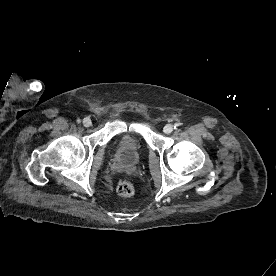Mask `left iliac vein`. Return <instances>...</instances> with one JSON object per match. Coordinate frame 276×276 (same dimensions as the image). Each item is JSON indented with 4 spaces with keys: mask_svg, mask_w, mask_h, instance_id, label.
Returning <instances> with one entry per match:
<instances>
[{
    "mask_svg": "<svg viewBox=\"0 0 276 276\" xmlns=\"http://www.w3.org/2000/svg\"><path fill=\"white\" fill-rule=\"evenodd\" d=\"M163 131L166 133V134H170L172 131H173V126L171 124H167L164 128H163Z\"/></svg>",
    "mask_w": 276,
    "mask_h": 276,
    "instance_id": "obj_1",
    "label": "left iliac vein"
}]
</instances>
